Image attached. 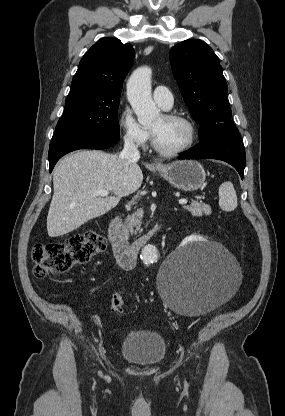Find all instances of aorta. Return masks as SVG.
Returning a JSON list of instances; mask_svg holds the SVG:
<instances>
[{"label":"aorta","instance_id":"1","mask_svg":"<svg viewBox=\"0 0 285 416\" xmlns=\"http://www.w3.org/2000/svg\"><path fill=\"white\" fill-rule=\"evenodd\" d=\"M151 75L149 67L137 68L130 76L127 83V97L138 122L142 125L155 121L160 113L151 95ZM157 258V250L153 245H147L142 250V259L145 263H151Z\"/></svg>","mask_w":285,"mask_h":416}]
</instances>
